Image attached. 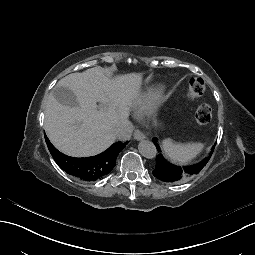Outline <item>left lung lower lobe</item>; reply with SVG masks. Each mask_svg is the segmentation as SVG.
I'll return each mask as SVG.
<instances>
[{
	"mask_svg": "<svg viewBox=\"0 0 255 255\" xmlns=\"http://www.w3.org/2000/svg\"><path fill=\"white\" fill-rule=\"evenodd\" d=\"M154 146H159L157 150L158 155L156 156V161L158 164L151 168L150 173L152 176L158 178L161 182L173 183L177 181H184L186 179H191L197 172H200L204 169L212 160V157L209 155V152L214 149L215 144L210 146L208 152H206L205 157H202L203 161L196 159V162H200L196 167H193L192 161H176L172 160L169 155H166L167 160H165L164 150L162 148L161 142L158 139L152 141Z\"/></svg>",
	"mask_w": 255,
	"mask_h": 255,
	"instance_id": "obj_1",
	"label": "left lung lower lobe"
}]
</instances>
